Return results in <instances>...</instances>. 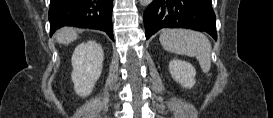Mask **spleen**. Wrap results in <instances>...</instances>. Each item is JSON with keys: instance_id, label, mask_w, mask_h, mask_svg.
Listing matches in <instances>:
<instances>
[{"instance_id": "obj_1", "label": "spleen", "mask_w": 273, "mask_h": 118, "mask_svg": "<svg viewBox=\"0 0 273 118\" xmlns=\"http://www.w3.org/2000/svg\"><path fill=\"white\" fill-rule=\"evenodd\" d=\"M163 48L176 54L195 56L203 72L211 67V44L208 38L191 30H163L159 38Z\"/></svg>"}]
</instances>
